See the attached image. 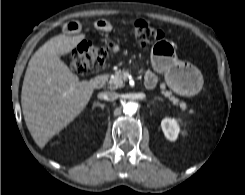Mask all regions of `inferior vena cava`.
<instances>
[{
    "label": "inferior vena cava",
    "instance_id": "inferior-vena-cava-1",
    "mask_svg": "<svg viewBox=\"0 0 245 195\" xmlns=\"http://www.w3.org/2000/svg\"><path fill=\"white\" fill-rule=\"evenodd\" d=\"M98 98L106 101H114L118 98V94L113 91H106L99 93Z\"/></svg>",
    "mask_w": 245,
    "mask_h": 195
}]
</instances>
